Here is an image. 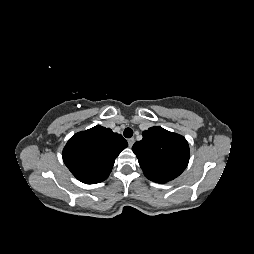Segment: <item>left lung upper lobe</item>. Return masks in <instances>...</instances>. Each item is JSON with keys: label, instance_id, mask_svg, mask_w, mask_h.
I'll list each match as a JSON object with an SVG mask.
<instances>
[{"label": "left lung upper lobe", "instance_id": "1", "mask_svg": "<svg viewBox=\"0 0 254 254\" xmlns=\"http://www.w3.org/2000/svg\"><path fill=\"white\" fill-rule=\"evenodd\" d=\"M132 150L144 175L151 181L166 183L179 176L187 167L190 152L186 139L155 126L142 133Z\"/></svg>", "mask_w": 254, "mask_h": 254}]
</instances>
